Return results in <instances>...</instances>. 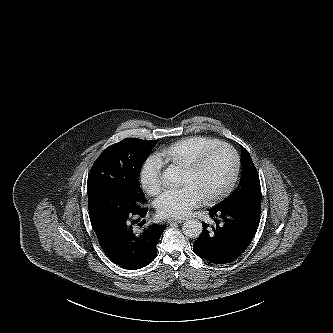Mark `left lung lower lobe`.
<instances>
[{"instance_id": "1", "label": "left lung lower lobe", "mask_w": 333, "mask_h": 333, "mask_svg": "<svg viewBox=\"0 0 333 333\" xmlns=\"http://www.w3.org/2000/svg\"><path fill=\"white\" fill-rule=\"evenodd\" d=\"M213 226L202 222L203 230L194 242L199 257L225 264L236 260L251 243L260 222L261 201L235 207H213L208 210Z\"/></svg>"}]
</instances>
